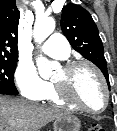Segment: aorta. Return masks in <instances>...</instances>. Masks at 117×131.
<instances>
[{
    "label": "aorta",
    "instance_id": "762f6f07",
    "mask_svg": "<svg viewBox=\"0 0 117 131\" xmlns=\"http://www.w3.org/2000/svg\"><path fill=\"white\" fill-rule=\"evenodd\" d=\"M55 29V21L51 17L37 18L34 24L33 37L35 42L41 44ZM39 74L42 78H48L56 63L43 56L36 59Z\"/></svg>",
    "mask_w": 117,
    "mask_h": 131
}]
</instances>
